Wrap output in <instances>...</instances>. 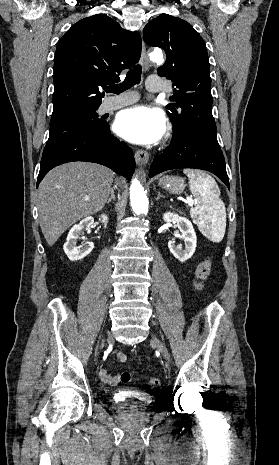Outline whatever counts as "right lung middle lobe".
<instances>
[{"label": "right lung middle lobe", "instance_id": "right-lung-middle-lobe-1", "mask_svg": "<svg viewBox=\"0 0 279 465\" xmlns=\"http://www.w3.org/2000/svg\"><path fill=\"white\" fill-rule=\"evenodd\" d=\"M97 109L87 111L57 125H51L49 139L44 148L43 155L50 153L68 140L84 133H94L107 127L109 124L97 119Z\"/></svg>", "mask_w": 279, "mask_h": 465}]
</instances>
